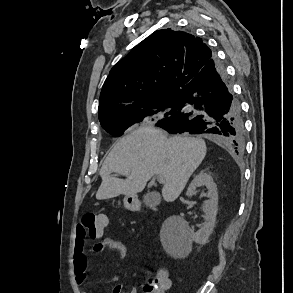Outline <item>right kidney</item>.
I'll return each instance as SVG.
<instances>
[{
  "mask_svg": "<svg viewBox=\"0 0 293 293\" xmlns=\"http://www.w3.org/2000/svg\"><path fill=\"white\" fill-rule=\"evenodd\" d=\"M201 186L207 188L209 198L203 204L205 222L197 232H193L186 221L177 219L179 224L176 227L178 231V237L176 239L166 237L163 227L161 231V242L168 253H172L175 249H179L182 246L190 247L193 241L202 245L206 244L214 230L218 210V192L211 175L203 172L199 173L188 186L186 195L192 197L196 189Z\"/></svg>",
  "mask_w": 293,
  "mask_h": 293,
  "instance_id": "obj_1",
  "label": "right kidney"
}]
</instances>
